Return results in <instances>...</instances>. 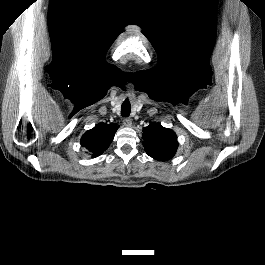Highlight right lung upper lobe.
Listing matches in <instances>:
<instances>
[{"label": "right lung upper lobe", "mask_w": 265, "mask_h": 265, "mask_svg": "<svg viewBox=\"0 0 265 265\" xmlns=\"http://www.w3.org/2000/svg\"><path fill=\"white\" fill-rule=\"evenodd\" d=\"M118 127L114 123L101 122L84 133L81 138V145L89 151L92 157H98L109 147Z\"/></svg>", "instance_id": "cb5924a9"}]
</instances>
